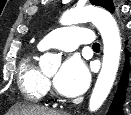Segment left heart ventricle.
<instances>
[{"label":"left heart ventricle","instance_id":"b2bd125f","mask_svg":"<svg viewBox=\"0 0 131 115\" xmlns=\"http://www.w3.org/2000/svg\"><path fill=\"white\" fill-rule=\"evenodd\" d=\"M54 74H55V73H51V74L48 75V77L51 78V77H53Z\"/></svg>","mask_w":131,"mask_h":115}]
</instances>
